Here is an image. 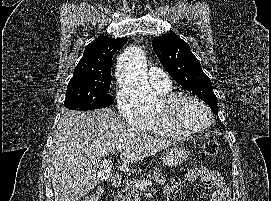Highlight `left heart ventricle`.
<instances>
[{"mask_svg": "<svg viewBox=\"0 0 271 201\" xmlns=\"http://www.w3.org/2000/svg\"><path fill=\"white\" fill-rule=\"evenodd\" d=\"M161 109L159 102L157 112ZM177 115L182 123L192 128H200L208 124L209 115L206 110L193 101L182 102L178 109Z\"/></svg>", "mask_w": 271, "mask_h": 201, "instance_id": "obj_1", "label": "left heart ventricle"}]
</instances>
